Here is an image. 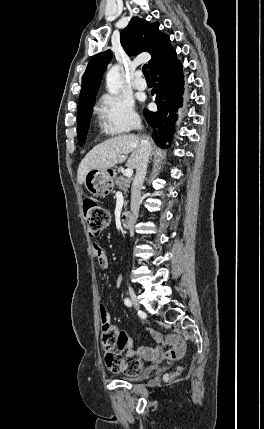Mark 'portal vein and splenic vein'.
<instances>
[{
  "mask_svg": "<svg viewBox=\"0 0 264 429\" xmlns=\"http://www.w3.org/2000/svg\"><path fill=\"white\" fill-rule=\"evenodd\" d=\"M132 174H133V169L132 168H127L126 171H125V176L127 178H130L132 176Z\"/></svg>",
  "mask_w": 264,
  "mask_h": 429,
  "instance_id": "obj_1",
  "label": "portal vein and splenic vein"
}]
</instances>
